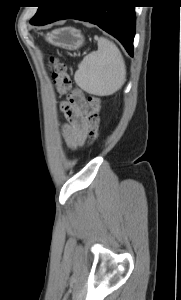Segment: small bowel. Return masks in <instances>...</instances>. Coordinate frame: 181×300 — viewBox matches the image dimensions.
Returning a JSON list of instances; mask_svg holds the SVG:
<instances>
[{"instance_id":"c3829d8e","label":"small bowel","mask_w":181,"mask_h":300,"mask_svg":"<svg viewBox=\"0 0 181 300\" xmlns=\"http://www.w3.org/2000/svg\"><path fill=\"white\" fill-rule=\"evenodd\" d=\"M86 106L83 104L80 108L75 109L74 115L69 118V124L64 127L63 134L68 146L76 149L80 146L87 133V123L84 118Z\"/></svg>"}]
</instances>
